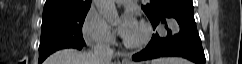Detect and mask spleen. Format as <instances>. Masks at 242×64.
I'll use <instances>...</instances> for the list:
<instances>
[{"mask_svg":"<svg viewBox=\"0 0 242 64\" xmlns=\"http://www.w3.org/2000/svg\"><path fill=\"white\" fill-rule=\"evenodd\" d=\"M152 64H190L188 61L177 58V57H169V58H162L152 62Z\"/></svg>","mask_w":242,"mask_h":64,"instance_id":"spleen-1","label":"spleen"}]
</instances>
